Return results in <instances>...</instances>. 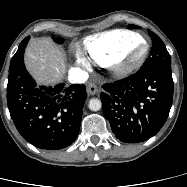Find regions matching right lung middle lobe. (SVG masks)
<instances>
[{"mask_svg":"<svg viewBox=\"0 0 187 187\" xmlns=\"http://www.w3.org/2000/svg\"><path fill=\"white\" fill-rule=\"evenodd\" d=\"M53 40H54L56 43H59V44L63 43V41H64V39L61 38V37H53Z\"/></svg>","mask_w":187,"mask_h":187,"instance_id":"right-lung-middle-lobe-1","label":"right lung middle lobe"}]
</instances>
